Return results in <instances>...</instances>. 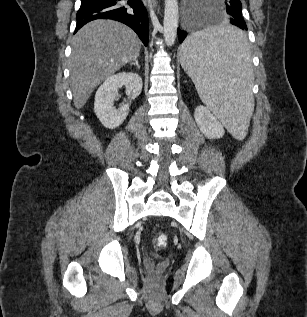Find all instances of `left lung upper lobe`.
<instances>
[{"label": "left lung upper lobe", "instance_id": "1", "mask_svg": "<svg viewBox=\"0 0 307 317\" xmlns=\"http://www.w3.org/2000/svg\"><path fill=\"white\" fill-rule=\"evenodd\" d=\"M225 4L228 15L238 16L239 18L243 19L242 4L240 0H225Z\"/></svg>", "mask_w": 307, "mask_h": 317}]
</instances>
